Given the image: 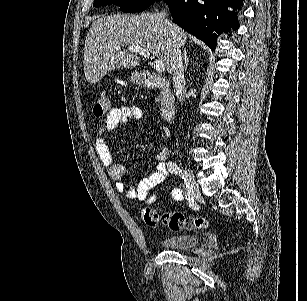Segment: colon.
Wrapping results in <instances>:
<instances>
[{
  "instance_id": "colon-1",
  "label": "colon",
  "mask_w": 307,
  "mask_h": 301,
  "mask_svg": "<svg viewBox=\"0 0 307 301\" xmlns=\"http://www.w3.org/2000/svg\"><path fill=\"white\" fill-rule=\"evenodd\" d=\"M109 109V95L106 92H102L94 106V115L96 117H103L109 112ZM141 218L143 222L150 227L156 226L161 221L172 231L201 229L208 226V222L204 218L185 216L179 212L160 213L151 207H145L141 210Z\"/></svg>"
}]
</instances>
